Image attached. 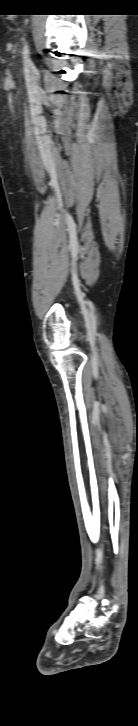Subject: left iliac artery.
<instances>
[{"label":"left iliac artery","instance_id":"44dca946","mask_svg":"<svg viewBox=\"0 0 138 726\" xmlns=\"http://www.w3.org/2000/svg\"><path fill=\"white\" fill-rule=\"evenodd\" d=\"M23 57L26 62H30V50H29V44L26 41L23 46Z\"/></svg>","mask_w":138,"mask_h":726}]
</instances>
